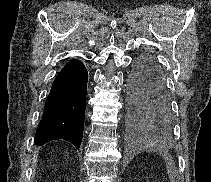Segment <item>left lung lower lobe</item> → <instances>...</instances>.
Listing matches in <instances>:
<instances>
[{
	"label": "left lung lower lobe",
	"instance_id": "obj_1",
	"mask_svg": "<svg viewBox=\"0 0 211 182\" xmlns=\"http://www.w3.org/2000/svg\"><path fill=\"white\" fill-rule=\"evenodd\" d=\"M128 95L134 119L158 136L170 134L173 117L163 72L150 55L139 56L129 75Z\"/></svg>",
	"mask_w": 211,
	"mask_h": 182
}]
</instances>
